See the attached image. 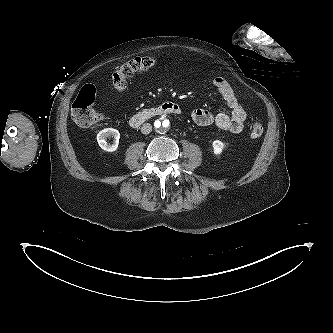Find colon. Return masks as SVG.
<instances>
[{
	"mask_svg": "<svg viewBox=\"0 0 333 333\" xmlns=\"http://www.w3.org/2000/svg\"><path fill=\"white\" fill-rule=\"evenodd\" d=\"M157 63L156 58L145 56L133 58L120 67L112 74V83L117 90H124L127 87L128 80L138 72L147 71L153 68ZM97 90L94 85L87 84L82 87L76 96L71 113L74 121L82 127H89L99 123L103 116L94 108ZM263 134V125L260 122H254L251 126L250 137L258 140Z\"/></svg>",
	"mask_w": 333,
	"mask_h": 333,
	"instance_id": "1",
	"label": "colon"
}]
</instances>
